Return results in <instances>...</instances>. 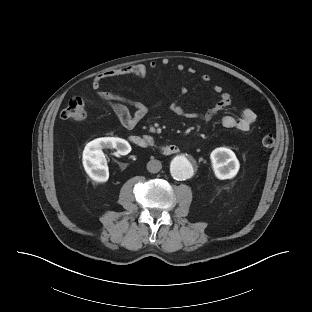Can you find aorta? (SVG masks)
I'll list each match as a JSON object with an SVG mask.
<instances>
[{
    "instance_id": "762f6f07",
    "label": "aorta",
    "mask_w": 312,
    "mask_h": 312,
    "mask_svg": "<svg viewBox=\"0 0 312 312\" xmlns=\"http://www.w3.org/2000/svg\"><path fill=\"white\" fill-rule=\"evenodd\" d=\"M170 173L176 180H186L193 175L194 164L185 156H177L171 162Z\"/></svg>"
}]
</instances>
